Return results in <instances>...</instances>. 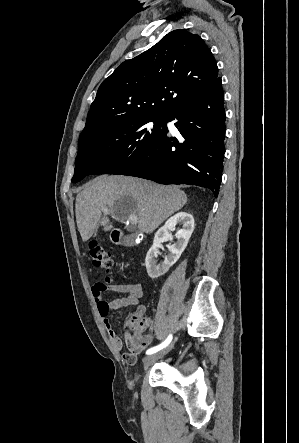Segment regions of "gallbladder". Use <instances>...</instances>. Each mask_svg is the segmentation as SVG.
<instances>
[{
    "instance_id": "gallbladder-1",
    "label": "gallbladder",
    "mask_w": 299,
    "mask_h": 443,
    "mask_svg": "<svg viewBox=\"0 0 299 443\" xmlns=\"http://www.w3.org/2000/svg\"><path fill=\"white\" fill-rule=\"evenodd\" d=\"M130 241H131V238H130V237H124V238L122 239V242H123L124 244H128Z\"/></svg>"
}]
</instances>
